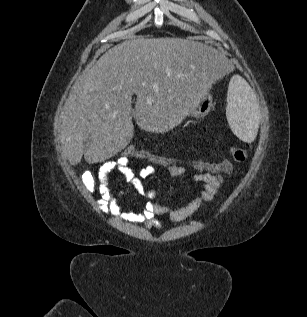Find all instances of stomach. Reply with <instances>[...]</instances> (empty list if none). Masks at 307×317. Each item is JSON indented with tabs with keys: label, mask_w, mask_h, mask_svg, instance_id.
I'll return each instance as SVG.
<instances>
[{
	"label": "stomach",
	"mask_w": 307,
	"mask_h": 317,
	"mask_svg": "<svg viewBox=\"0 0 307 317\" xmlns=\"http://www.w3.org/2000/svg\"><path fill=\"white\" fill-rule=\"evenodd\" d=\"M212 96L208 93H203L199 95L194 101L193 106L190 111V115L202 116L210 111L212 106Z\"/></svg>",
	"instance_id": "obj_1"
}]
</instances>
